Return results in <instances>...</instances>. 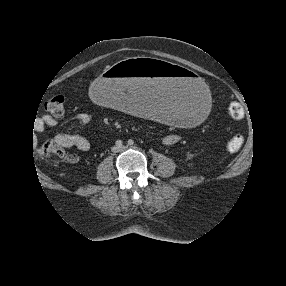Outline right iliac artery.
Returning a JSON list of instances; mask_svg holds the SVG:
<instances>
[{"mask_svg": "<svg viewBox=\"0 0 286 286\" xmlns=\"http://www.w3.org/2000/svg\"><path fill=\"white\" fill-rule=\"evenodd\" d=\"M115 144L117 147H121L123 145V142L121 140H117Z\"/></svg>", "mask_w": 286, "mask_h": 286, "instance_id": "82829eb1", "label": "right iliac artery"}]
</instances>
